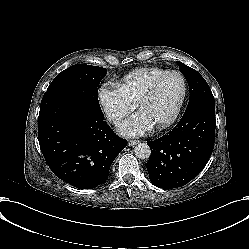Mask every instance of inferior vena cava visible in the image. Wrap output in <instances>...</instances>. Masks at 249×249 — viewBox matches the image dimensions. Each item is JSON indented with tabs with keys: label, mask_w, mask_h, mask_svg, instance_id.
Listing matches in <instances>:
<instances>
[{
	"label": "inferior vena cava",
	"mask_w": 249,
	"mask_h": 249,
	"mask_svg": "<svg viewBox=\"0 0 249 249\" xmlns=\"http://www.w3.org/2000/svg\"><path fill=\"white\" fill-rule=\"evenodd\" d=\"M110 121L114 122V123H119L121 121V119H120V117L113 115L110 117Z\"/></svg>",
	"instance_id": "1"
}]
</instances>
